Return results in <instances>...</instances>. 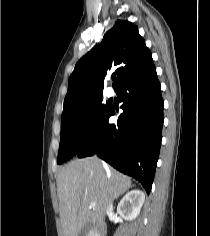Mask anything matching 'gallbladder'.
<instances>
[{
  "label": "gallbladder",
  "mask_w": 210,
  "mask_h": 236,
  "mask_svg": "<svg viewBox=\"0 0 210 236\" xmlns=\"http://www.w3.org/2000/svg\"><path fill=\"white\" fill-rule=\"evenodd\" d=\"M89 230H90V224L84 225L83 228L80 230L78 236H87Z\"/></svg>",
  "instance_id": "obj_1"
}]
</instances>
